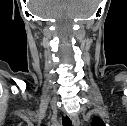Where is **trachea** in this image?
<instances>
[{"label":"trachea","mask_w":127,"mask_h":126,"mask_svg":"<svg viewBox=\"0 0 127 126\" xmlns=\"http://www.w3.org/2000/svg\"><path fill=\"white\" fill-rule=\"evenodd\" d=\"M62 124L63 126H71L72 122L68 116H65L63 117Z\"/></svg>","instance_id":"3493384b"}]
</instances>
